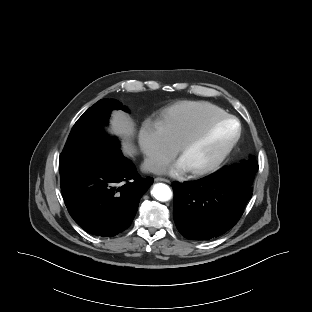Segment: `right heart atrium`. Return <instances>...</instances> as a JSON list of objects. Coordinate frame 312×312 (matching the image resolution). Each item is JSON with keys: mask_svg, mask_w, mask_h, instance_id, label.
Instances as JSON below:
<instances>
[{"mask_svg": "<svg viewBox=\"0 0 312 312\" xmlns=\"http://www.w3.org/2000/svg\"><path fill=\"white\" fill-rule=\"evenodd\" d=\"M144 155L145 166L151 172L160 170L175 155L177 147L170 140L160 119L147 118L143 121L138 136Z\"/></svg>", "mask_w": 312, "mask_h": 312, "instance_id": "1", "label": "right heart atrium"}]
</instances>
